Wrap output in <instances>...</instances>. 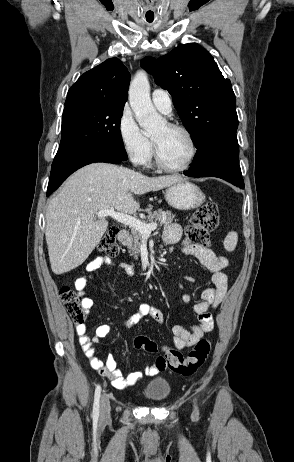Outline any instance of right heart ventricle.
Returning a JSON list of instances; mask_svg holds the SVG:
<instances>
[{
	"instance_id": "right-heart-ventricle-1",
	"label": "right heart ventricle",
	"mask_w": 294,
	"mask_h": 462,
	"mask_svg": "<svg viewBox=\"0 0 294 462\" xmlns=\"http://www.w3.org/2000/svg\"><path fill=\"white\" fill-rule=\"evenodd\" d=\"M151 157H152V151H151V154H150V156H149V159H148V161H150V160H151Z\"/></svg>"
}]
</instances>
